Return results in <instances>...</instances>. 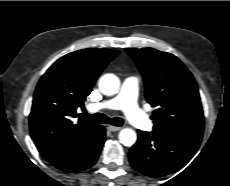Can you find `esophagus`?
<instances>
[{"mask_svg": "<svg viewBox=\"0 0 230 186\" xmlns=\"http://www.w3.org/2000/svg\"><path fill=\"white\" fill-rule=\"evenodd\" d=\"M107 129H108L109 131H111V132H116V131L121 130V127H116V126L109 125V126L107 127Z\"/></svg>", "mask_w": 230, "mask_h": 186, "instance_id": "1", "label": "esophagus"}]
</instances>
